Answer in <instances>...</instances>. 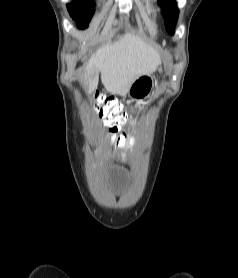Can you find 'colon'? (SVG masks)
I'll use <instances>...</instances> for the list:
<instances>
[{
    "instance_id": "colon-1",
    "label": "colon",
    "mask_w": 238,
    "mask_h": 278,
    "mask_svg": "<svg viewBox=\"0 0 238 278\" xmlns=\"http://www.w3.org/2000/svg\"><path fill=\"white\" fill-rule=\"evenodd\" d=\"M95 100V112L99 115V117L103 118V121L109 128L113 131H117V136H126V131H118L124 125V120L126 118V112L122 104L113 97L96 93L94 96ZM119 145H124L125 149H133L134 142L133 137H124L119 138ZM112 142H117V137H107V141H100V146H111ZM128 142V144H125ZM102 153H107L103 155L104 159H107L108 156L112 155L111 148H102ZM126 155L125 151H120L118 158L122 159L123 156Z\"/></svg>"
}]
</instances>
